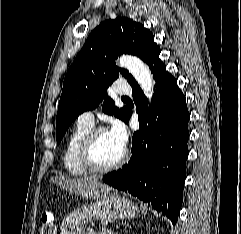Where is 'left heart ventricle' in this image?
Segmentation results:
<instances>
[{"mask_svg": "<svg viewBox=\"0 0 241 234\" xmlns=\"http://www.w3.org/2000/svg\"><path fill=\"white\" fill-rule=\"evenodd\" d=\"M109 132L100 133L95 141L94 158L99 165L107 166L116 162L123 153Z\"/></svg>", "mask_w": 241, "mask_h": 234, "instance_id": "b2bd125f", "label": "left heart ventricle"}]
</instances>
